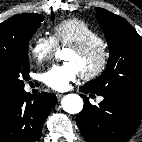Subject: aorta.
I'll return each instance as SVG.
<instances>
[{
  "label": "aorta",
  "instance_id": "aorta-1",
  "mask_svg": "<svg viewBox=\"0 0 142 142\" xmlns=\"http://www.w3.org/2000/svg\"><path fill=\"white\" fill-rule=\"evenodd\" d=\"M57 57H59L58 53ZM61 105L65 112L70 114H76L83 109V100L77 94H68L62 99Z\"/></svg>",
  "mask_w": 142,
  "mask_h": 142
}]
</instances>
